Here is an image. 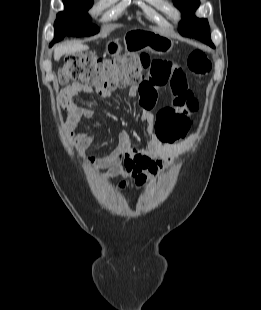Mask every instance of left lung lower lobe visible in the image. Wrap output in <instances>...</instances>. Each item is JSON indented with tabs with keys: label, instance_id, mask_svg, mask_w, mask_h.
Here are the masks:
<instances>
[{
	"label": "left lung lower lobe",
	"instance_id": "1",
	"mask_svg": "<svg viewBox=\"0 0 261 310\" xmlns=\"http://www.w3.org/2000/svg\"><path fill=\"white\" fill-rule=\"evenodd\" d=\"M195 38L203 41L204 43L210 45L211 47H214L211 37H210V31H209V26H207L205 29L201 30L195 35Z\"/></svg>",
	"mask_w": 261,
	"mask_h": 310
}]
</instances>
